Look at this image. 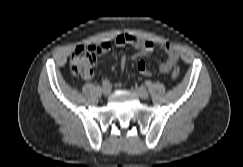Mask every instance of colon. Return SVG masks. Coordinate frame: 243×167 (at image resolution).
<instances>
[{"label":"colon","mask_w":243,"mask_h":167,"mask_svg":"<svg viewBox=\"0 0 243 167\" xmlns=\"http://www.w3.org/2000/svg\"><path fill=\"white\" fill-rule=\"evenodd\" d=\"M97 47L93 45L78 46L72 52L70 58V67L72 72L80 77H87L92 73L93 66L96 62ZM171 75L173 78H178L180 70L175 67Z\"/></svg>","instance_id":"1"}]
</instances>
